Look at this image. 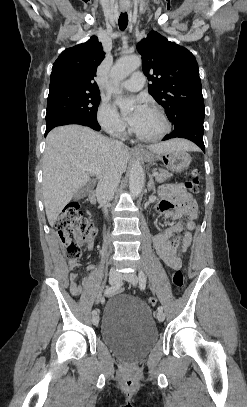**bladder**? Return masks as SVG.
<instances>
[{
  "instance_id": "1",
  "label": "bladder",
  "mask_w": 247,
  "mask_h": 407,
  "mask_svg": "<svg viewBox=\"0 0 247 407\" xmlns=\"http://www.w3.org/2000/svg\"><path fill=\"white\" fill-rule=\"evenodd\" d=\"M100 331L102 342L127 362L141 361L159 338L150 307L129 295L106 303Z\"/></svg>"
}]
</instances>
